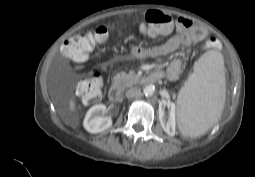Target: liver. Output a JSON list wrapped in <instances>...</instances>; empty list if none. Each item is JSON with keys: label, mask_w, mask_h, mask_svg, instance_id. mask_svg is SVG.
<instances>
[{"label": "liver", "mask_w": 255, "mask_h": 177, "mask_svg": "<svg viewBox=\"0 0 255 177\" xmlns=\"http://www.w3.org/2000/svg\"><path fill=\"white\" fill-rule=\"evenodd\" d=\"M70 109L73 110L74 109V104L71 102L70 103Z\"/></svg>", "instance_id": "1"}]
</instances>
